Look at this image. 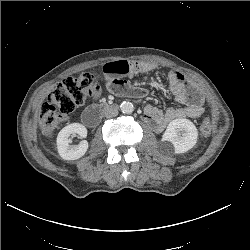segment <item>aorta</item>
<instances>
[{
	"label": "aorta",
	"mask_w": 250,
	"mask_h": 250,
	"mask_svg": "<svg viewBox=\"0 0 250 250\" xmlns=\"http://www.w3.org/2000/svg\"><path fill=\"white\" fill-rule=\"evenodd\" d=\"M120 110L122 113L131 114L134 111V106L131 102H122L120 105Z\"/></svg>",
	"instance_id": "aorta-1"
}]
</instances>
